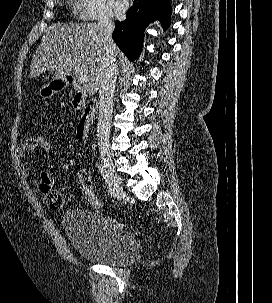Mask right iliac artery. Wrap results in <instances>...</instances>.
<instances>
[{"label": "right iliac artery", "instance_id": "obj_1", "mask_svg": "<svg viewBox=\"0 0 272 303\" xmlns=\"http://www.w3.org/2000/svg\"><path fill=\"white\" fill-rule=\"evenodd\" d=\"M100 174L103 176V178L105 179L107 185H108V192L109 194L112 196V197H116V193H115V190H114V187L110 181V178H109V175L105 169L104 166H102L101 164H97L96 165Z\"/></svg>", "mask_w": 272, "mask_h": 303}]
</instances>
